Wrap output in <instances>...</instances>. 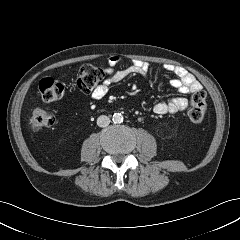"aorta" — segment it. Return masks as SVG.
<instances>
[{
	"mask_svg": "<svg viewBox=\"0 0 240 240\" xmlns=\"http://www.w3.org/2000/svg\"><path fill=\"white\" fill-rule=\"evenodd\" d=\"M112 120L114 123H122L123 122V115L121 113H114Z\"/></svg>",
	"mask_w": 240,
	"mask_h": 240,
	"instance_id": "762f6f07",
	"label": "aorta"
}]
</instances>
